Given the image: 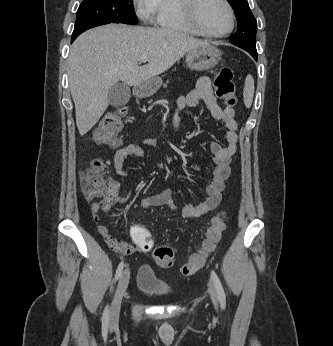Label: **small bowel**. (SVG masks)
Wrapping results in <instances>:
<instances>
[{"label": "small bowel", "instance_id": "small-bowel-1", "mask_svg": "<svg viewBox=\"0 0 333 346\" xmlns=\"http://www.w3.org/2000/svg\"><path fill=\"white\" fill-rule=\"evenodd\" d=\"M204 102L212 116L225 124L226 145L213 141L210 149L214 155V168L211 173V181L206 186L207 197L197 205H186L180 209L182 218L190 219L202 216L209 211L214 210L221 202L222 192L225 189L226 180L230 174V163L237 150V122L235 120V112L232 108H221L213 94L210 79L206 76L201 77L196 88L186 95L181 96L177 101V112L172 118V125L175 131L179 129L180 117L179 111L185 107H195ZM143 146L157 147L159 141L156 138H145L142 141ZM144 150L140 145L128 144L119 148L113 157V164L116 173L120 176H126L125 160L130 156L143 158ZM199 169L200 165H195ZM109 195L105 199L94 202L90 206L91 215L97 226L99 234L104 238L106 243L113 248V254H134L138 247L134 243H127L118 240L104 223L102 212L110 210L114 203L124 204L129 200V195L120 197L118 192L120 184L114 179H108ZM141 204L145 209H151L156 206H167L172 210H177L173 203L172 191L167 189L160 194L148 196L142 199ZM135 242V241H134ZM136 245V242H135Z\"/></svg>", "mask_w": 333, "mask_h": 346}]
</instances>
